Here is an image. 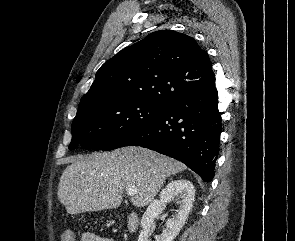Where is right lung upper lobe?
Instances as JSON below:
<instances>
[{
  "label": "right lung upper lobe",
  "instance_id": "cb5924a9",
  "mask_svg": "<svg viewBox=\"0 0 295 241\" xmlns=\"http://www.w3.org/2000/svg\"><path fill=\"white\" fill-rule=\"evenodd\" d=\"M214 83L209 56L192 37L160 30L105 62L83 97L112 91L129 100L164 107Z\"/></svg>",
  "mask_w": 295,
  "mask_h": 241
}]
</instances>
